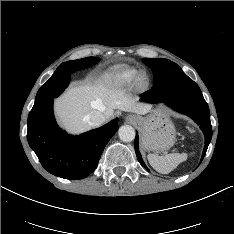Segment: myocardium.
I'll return each instance as SVG.
<instances>
[{
    "mask_svg": "<svg viewBox=\"0 0 234 234\" xmlns=\"http://www.w3.org/2000/svg\"><path fill=\"white\" fill-rule=\"evenodd\" d=\"M143 76L146 77L145 81H142ZM133 86L138 91H145L150 85V76L147 71L140 70L136 73L133 79Z\"/></svg>",
    "mask_w": 234,
    "mask_h": 234,
    "instance_id": "1",
    "label": "myocardium"
}]
</instances>
